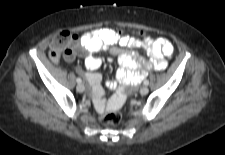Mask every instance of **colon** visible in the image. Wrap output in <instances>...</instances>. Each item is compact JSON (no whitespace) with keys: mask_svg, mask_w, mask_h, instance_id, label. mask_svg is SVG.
Wrapping results in <instances>:
<instances>
[{"mask_svg":"<svg viewBox=\"0 0 225 155\" xmlns=\"http://www.w3.org/2000/svg\"><path fill=\"white\" fill-rule=\"evenodd\" d=\"M118 35H123L121 30H115ZM137 36H141L142 32H136ZM73 35L69 32H60L54 36L50 44L49 55L50 58L57 62L60 57H65L70 54V50L67 47L68 43L72 40ZM101 121L107 125H118L121 122V115L119 112L110 113L107 110L103 112Z\"/></svg>","mask_w":225,"mask_h":155,"instance_id":"colon-1","label":"colon"}]
</instances>
